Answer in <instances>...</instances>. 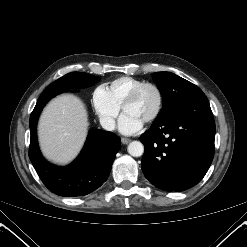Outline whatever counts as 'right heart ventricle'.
Listing matches in <instances>:
<instances>
[{
  "mask_svg": "<svg viewBox=\"0 0 247 247\" xmlns=\"http://www.w3.org/2000/svg\"><path fill=\"white\" fill-rule=\"evenodd\" d=\"M142 83H144V81L141 79L131 76H122L111 81L108 84L107 89L113 100L119 106H122L124 100L131 93V91Z\"/></svg>",
  "mask_w": 247,
  "mask_h": 247,
  "instance_id": "1",
  "label": "right heart ventricle"
}]
</instances>
